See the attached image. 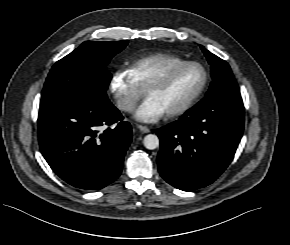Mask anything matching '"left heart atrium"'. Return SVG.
<instances>
[{"instance_id": "left-heart-atrium-1", "label": "left heart atrium", "mask_w": 290, "mask_h": 245, "mask_svg": "<svg viewBox=\"0 0 290 245\" xmlns=\"http://www.w3.org/2000/svg\"><path fill=\"white\" fill-rule=\"evenodd\" d=\"M166 113L165 108L152 96H148L136 109L134 117L146 123L156 122Z\"/></svg>"}]
</instances>
